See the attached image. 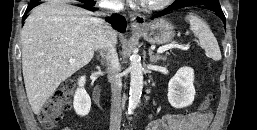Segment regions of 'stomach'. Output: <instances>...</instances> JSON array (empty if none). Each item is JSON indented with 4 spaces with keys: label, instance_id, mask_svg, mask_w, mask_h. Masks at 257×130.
<instances>
[{
    "label": "stomach",
    "instance_id": "stomach-1",
    "mask_svg": "<svg viewBox=\"0 0 257 130\" xmlns=\"http://www.w3.org/2000/svg\"><path fill=\"white\" fill-rule=\"evenodd\" d=\"M142 37L151 44H165L175 35V26L166 19H157L138 29Z\"/></svg>",
    "mask_w": 257,
    "mask_h": 130
}]
</instances>
